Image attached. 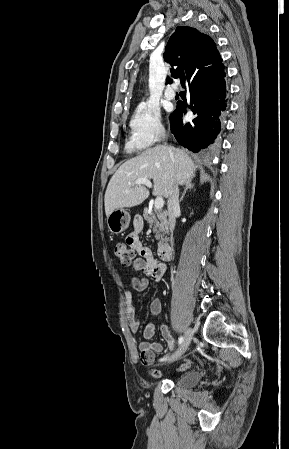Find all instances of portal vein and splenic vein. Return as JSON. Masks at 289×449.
Listing matches in <instances>:
<instances>
[{
    "mask_svg": "<svg viewBox=\"0 0 289 449\" xmlns=\"http://www.w3.org/2000/svg\"><path fill=\"white\" fill-rule=\"evenodd\" d=\"M136 185H146L147 187L151 188L152 187V183L150 182V180L146 179V178H139L135 181ZM155 209L160 210L163 206H164V200L162 198V196H157L155 199Z\"/></svg>",
    "mask_w": 289,
    "mask_h": 449,
    "instance_id": "portal-vein-and-splenic-vein-1",
    "label": "portal vein and splenic vein"
}]
</instances>
